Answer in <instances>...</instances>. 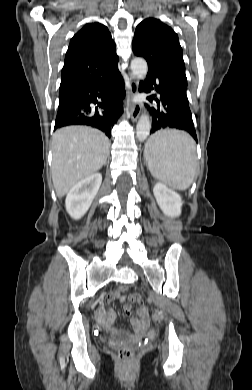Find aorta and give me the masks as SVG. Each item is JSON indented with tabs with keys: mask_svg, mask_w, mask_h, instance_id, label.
Segmentation results:
<instances>
[{
	"mask_svg": "<svg viewBox=\"0 0 252 390\" xmlns=\"http://www.w3.org/2000/svg\"><path fill=\"white\" fill-rule=\"evenodd\" d=\"M131 70L133 75H135L138 79H143L146 77L148 66L147 62L143 58L136 57L131 61ZM151 129V123L148 115H142L138 120L136 126V136L139 141H144Z\"/></svg>",
	"mask_w": 252,
	"mask_h": 390,
	"instance_id": "1",
	"label": "aorta"
}]
</instances>
